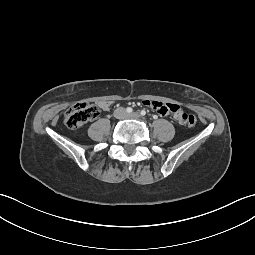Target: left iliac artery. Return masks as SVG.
I'll use <instances>...</instances> for the list:
<instances>
[{
    "label": "left iliac artery",
    "mask_w": 255,
    "mask_h": 255,
    "mask_svg": "<svg viewBox=\"0 0 255 255\" xmlns=\"http://www.w3.org/2000/svg\"><path fill=\"white\" fill-rule=\"evenodd\" d=\"M140 114H141L142 116H145V115H146V111H145V110H141Z\"/></svg>",
    "instance_id": "44dca946"
}]
</instances>
